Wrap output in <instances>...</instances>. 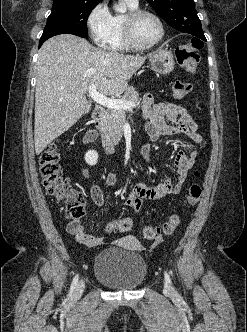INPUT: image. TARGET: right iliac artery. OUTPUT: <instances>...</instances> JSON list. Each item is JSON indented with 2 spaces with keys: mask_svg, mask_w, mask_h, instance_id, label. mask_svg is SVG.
I'll return each instance as SVG.
<instances>
[{
  "mask_svg": "<svg viewBox=\"0 0 247 332\" xmlns=\"http://www.w3.org/2000/svg\"><path fill=\"white\" fill-rule=\"evenodd\" d=\"M78 280H79V276L76 275L74 278H73V281L71 283V287H70V291L73 292V290L75 289L77 283H78Z\"/></svg>",
  "mask_w": 247,
  "mask_h": 332,
  "instance_id": "82829eb1",
  "label": "right iliac artery"
}]
</instances>
